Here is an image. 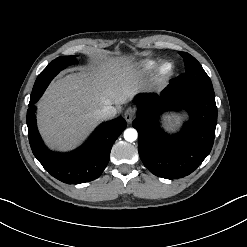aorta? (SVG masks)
Masks as SVG:
<instances>
[{
    "label": "aorta",
    "mask_w": 247,
    "mask_h": 247,
    "mask_svg": "<svg viewBox=\"0 0 247 247\" xmlns=\"http://www.w3.org/2000/svg\"><path fill=\"white\" fill-rule=\"evenodd\" d=\"M137 131L134 128H128L124 131V139L128 142H133L137 139Z\"/></svg>",
    "instance_id": "obj_1"
}]
</instances>
